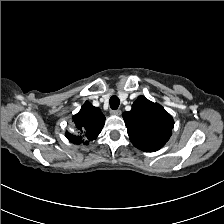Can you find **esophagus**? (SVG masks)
Here are the masks:
<instances>
[{
	"label": "esophagus",
	"instance_id": "34e87169",
	"mask_svg": "<svg viewBox=\"0 0 224 224\" xmlns=\"http://www.w3.org/2000/svg\"><path fill=\"white\" fill-rule=\"evenodd\" d=\"M111 114L119 116L121 114V110L120 109H113V110H111Z\"/></svg>",
	"mask_w": 224,
	"mask_h": 224
}]
</instances>
